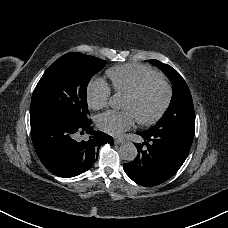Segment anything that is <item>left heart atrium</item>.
I'll return each instance as SVG.
<instances>
[{"label":"left heart atrium","instance_id":"39dd6f15","mask_svg":"<svg viewBox=\"0 0 228 228\" xmlns=\"http://www.w3.org/2000/svg\"><path fill=\"white\" fill-rule=\"evenodd\" d=\"M134 120V115L131 111L123 112L110 111L101 115L98 119L100 127L109 134H119L128 129Z\"/></svg>","mask_w":228,"mask_h":228}]
</instances>
